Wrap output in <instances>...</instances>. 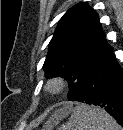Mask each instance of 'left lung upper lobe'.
I'll return each instance as SVG.
<instances>
[{
    "label": "left lung upper lobe",
    "mask_w": 123,
    "mask_h": 130,
    "mask_svg": "<svg viewBox=\"0 0 123 130\" xmlns=\"http://www.w3.org/2000/svg\"><path fill=\"white\" fill-rule=\"evenodd\" d=\"M100 25L96 12L80 2L59 20L49 43L43 65L45 77L67 78L69 101L77 100L92 67L110 48Z\"/></svg>",
    "instance_id": "1"
}]
</instances>
